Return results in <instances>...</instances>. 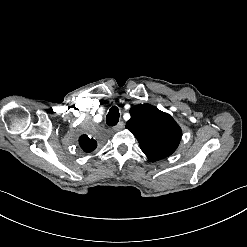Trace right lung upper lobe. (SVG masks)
<instances>
[{
    "instance_id": "cb5924a9",
    "label": "right lung upper lobe",
    "mask_w": 247,
    "mask_h": 247,
    "mask_svg": "<svg viewBox=\"0 0 247 247\" xmlns=\"http://www.w3.org/2000/svg\"><path fill=\"white\" fill-rule=\"evenodd\" d=\"M79 144L85 152H91L97 146L96 140L93 139L91 136L89 137L88 135H85V134L80 136Z\"/></svg>"
}]
</instances>
